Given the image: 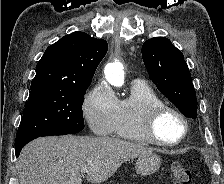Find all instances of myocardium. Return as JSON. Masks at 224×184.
<instances>
[{"label":"myocardium","instance_id":"f54148a6","mask_svg":"<svg viewBox=\"0 0 224 184\" xmlns=\"http://www.w3.org/2000/svg\"><path fill=\"white\" fill-rule=\"evenodd\" d=\"M165 114H172L181 121L183 125V134L179 139L174 141H165L158 136L156 126L159 119ZM141 128L147 142L163 147H173L181 144L189 133V124L184 114L173 106L165 103L156 104L147 109L142 120Z\"/></svg>","mask_w":224,"mask_h":184}]
</instances>
